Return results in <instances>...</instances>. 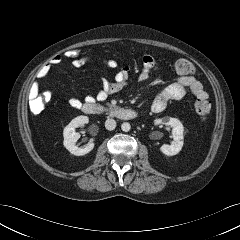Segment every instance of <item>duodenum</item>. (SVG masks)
<instances>
[{
	"mask_svg": "<svg viewBox=\"0 0 240 240\" xmlns=\"http://www.w3.org/2000/svg\"><path fill=\"white\" fill-rule=\"evenodd\" d=\"M82 111L89 115H106L119 120H131L137 116V113L131 109L108 107L94 102L85 103L82 106Z\"/></svg>",
	"mask_w": 240,
	"mask_h": 240,
	"instance_id": "410a0bca",
	"label": "duodenum"
}]
</instances>
